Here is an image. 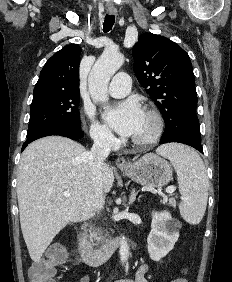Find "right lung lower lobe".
<instances>
[{"instance_id":"1","label":"right lung lower lobe","mask_w":232,"mask_h":282,"mask_svg":"<svg viewBox=\"0 0 232 282\" xmlns=\"http://www.w3.org/2000/svg\"><path fill=\"white\" fill-rule=\"evenodd\" d=\"M50 135H60L71 138L73 140H77L82 138L84 133L79 128H75L67 124H57L49 126L31 135H27V140L24 142L21 151H23L25 147H27V145L32 141Z\"/></svg>"}]
</instances>
